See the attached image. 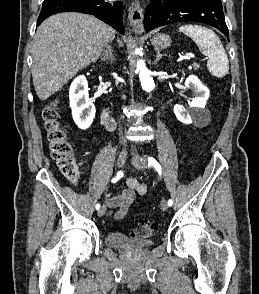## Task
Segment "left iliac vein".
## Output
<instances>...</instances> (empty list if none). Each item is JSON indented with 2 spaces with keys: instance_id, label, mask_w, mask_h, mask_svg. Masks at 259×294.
<instances>
[{
  "instance_id": "1",
  "label": "left iliac vein",
  "mask_w": 259,
  "mask_h": 294,
  "mask_svg": "<svg viewBox=\"0 0 259 294\" xmlns=\"http://www.w3.org/2000/svg\"><path fill=\"white\" fill-rule=\"evenodd\" d=\"M132 164L136 169L142 170L146 166V161L144 158H141L138 155H134L132 158ZM160 206L163 211H167L168 204L165 199L161 200Z\"/></svg>"
}]
</instances>
